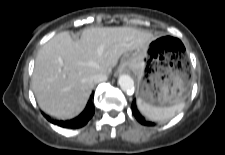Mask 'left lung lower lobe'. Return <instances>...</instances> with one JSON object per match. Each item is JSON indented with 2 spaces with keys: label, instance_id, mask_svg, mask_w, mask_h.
I'll list each match as a JSON object with an SVG mask.
<instances>
[{
  "label": "left lung lower lobe",
  "instance_id": "1",
  "mask_svg": "<svg viewBox=\"0 0 225 155\" xmlns=\"http://www.w3.org/2000/svg\"><path fill=\"white\" fill-rule=\"evenodd\" d=\"M132 111L134 116L136 117V119L143 125H147V126H154L155 123L153 122H149V121H145L144 117L138 112L136 104H135V100L132 103Z\"/></svg>",
  "mask_w": 225,
  "mask_h": 155
}]
</instances>
